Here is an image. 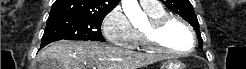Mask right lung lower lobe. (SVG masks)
<instances>
[{
  "mask_svg": "<svg viewBox=\"0 0 246 69\" xmlns=\"http://www.w3.org/2000/svg\"><path fill=\"white\" fill-rule=\"evenodd\" d=\"M49 43H41V48H43L44 46H46Z\"/></svg>",
  "mask_w": 246,
  "mask_h": 69,
  "instance_id": "right-lung-lower-lobe-1",
  "label": "right lung lower lobe"
}]
</instances>
